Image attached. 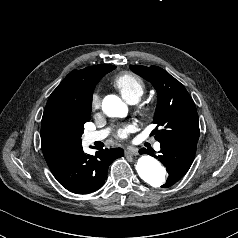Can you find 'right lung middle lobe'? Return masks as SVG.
<instances>
[{
  "instance_id": "right-lung-middle-lobe-1",
  "label": "right lung middle lobe",
  "mask_w": 238,
  "mask_h": 238,
  "mask_svg": "<svg viewBox=\"0 0 238 238\" xmlns=\"http://www.w3.org/2000/svg\"><path fill=\"white\" fill-rule=\"evenodd\" d=\"M113 69H115V66L111 65L107 71L103 72L99 79L104 76L106 73L112 71ZM98 79V80H99ZM88 121L87 119H72L67 123V128L69 130H71L74 134H76L79 138L82 136L83 134V130H84V123Z\"/></svg>"
}]
</instances>
